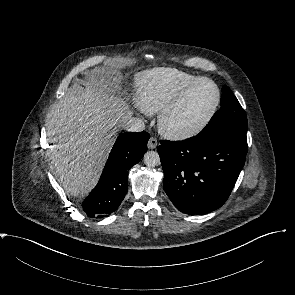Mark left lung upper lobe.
<instances>
[{
	"label": "left lung upper lobe",
	"mask_w": 295,
	"mask_h": 295,
	"mask_svg": "<svg viewBox=\"0 0 295 295\" xmlns=\"http://www.w3.org/2000/svg\"><path fill=\"white\" fill-rule=\"evenodd\" d=\"M222 91L220 110L213 115L200 134L222 131L246 139L248 123L245 111L229 87L223 86Z\"/></svg>",
	"instance_id": "5c2ea615"
}]
</instances>
